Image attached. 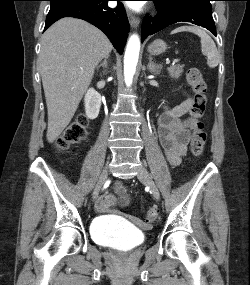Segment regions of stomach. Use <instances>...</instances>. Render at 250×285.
Returning a JSON list of instances; mask_svg holds the SVG:
<instances>
[{"label":"stomach","mask_w":250,"mask_h":285,"mask_svg":"<svg viewBox=\"0 0 250 285\" xmlns=\"http://www.w3.org/2000/svg\"><path fill=\"white\" fill-rule=\"evenodd\" d=\"M167 45L163 40L157 39L148 46L149 53L159 55L165 52Z\"/></svg>","instance_id":"1"}]
</instances>
